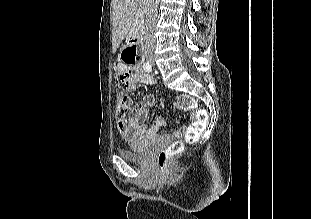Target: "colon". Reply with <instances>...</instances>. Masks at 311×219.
Instances as JSON below:
<instances>
[{"label":"colon","mask_w":311,"mask_h":219,"mask_svg":"<svg viewBox=\"0 0 311 219\" xmlns=\"http://www.w3.org/2000/svg\"><path fill=\"white\" fill-rule=\"evenodd\" d=\"M126 60L128 63L134 64L136 62V56L128 52ZM118 84L119 93L117 95L115 117L117 121L121 122L125 119L129 106V100L125 94L127 82L124 75L120 76ZM177 104L180 109L192 112L191 124L184 130V134L187 142L194 143L199 139L206 128L208 120L207 111L205 109L198 108L195 99L187 94L180 95ZM182 149L183 143L181 141H175L166 149L162 150L158 154L159 168L163 171L168 170L171 159L178 155Z\"/></svg>","instance_id":"obj_1"}]
</instances>
